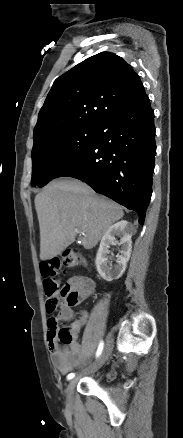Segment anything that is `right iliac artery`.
<instances>
[{
	"mask_svg": "<svg viewBox=\"0 0 183 438\" xmlns=\"http://www.w3.org/2000/svg\"><path fill=\"white\" fill-rule=\"evenodd\" d=\"M103 347H104V343L102 341V342H100V344L98 346V349H97V352H96V357H99L101 355ZM74 376H75L74 373H70V374H68L67 379L70 380V379L74 378Z\"/></svg>",
	"mask_w": 183,
	"mask_h": 438,
	"instance_id": "right-iliac-artery-1",
	"label": "right iliac artery"
}]
</instances>
